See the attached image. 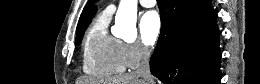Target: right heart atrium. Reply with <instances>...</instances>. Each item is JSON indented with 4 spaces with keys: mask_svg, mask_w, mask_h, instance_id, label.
I'll list each match as a JSON object with an SVG mask.
<instances>
[{
    "mask_svg": "<svg viewBox=\"0 0 260 84\" xmlns=\"http://www.w3.org/2000/svg\"><path fill=\"white\" fill-rule=\"evenodd\" d=\"M121 52L125 65L129 68L139 66L149 56V50L139 42H122Z\"/></svg>",
    "mask_w": 260,
    "mask_h": 84,
    "instance_id": "1",
    "label": "right heart atrium"
}]
</instances>
